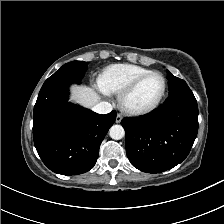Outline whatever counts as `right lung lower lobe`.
I'll return each mask as SVG.
<instances>
[{
  "mask_svg": "<svg viewBox=\"0 0 224 224\" xmlns=\"http://www.w3.org/2000/svg\"><path fill=\"white\" fill-rule=\"evenodd\" d=\"M80 83L70 76L49 77L33 113V137L43 163L53 172L76 175L96 163L99 147L116 119V112L97 114L68 103V87Z\"/></svg>",
  "mask_w": 224,
  "mask_h": 224,
  "instance_id": "98d812e1",
  "label": "right lung lower lobe"
}]
</instances>
